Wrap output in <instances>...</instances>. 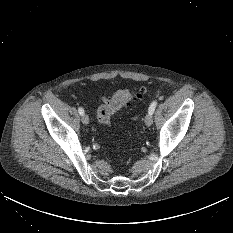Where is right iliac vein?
<instances>
[{
    "instance_id": "63e3f726",
    "label": "right iliac vein",
    "mask_w": 233,
    "mask_h": 233,
    "mask_svg": "<svg viewBox=\"0 0 233 233\" xmlns=\"http://www.w3.org/2000/svg\"><path fill=\"white\" fill-rule=\"evenodd\" d=\"M81 121L83 124L87 125L89 123V116L87 114H83L81 116Z\"/></svg>"
}]
</instances>
